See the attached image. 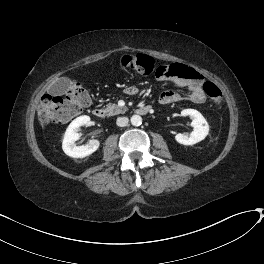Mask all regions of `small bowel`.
I'll use <instances>...</instances> for the list:
<instances>
[{
    "instance_id": "obj_1",
    "label": "small bowel",
    "mask_w": 264,
    "mask_h": 264,
    "mask_svg": "<svg viewBox=\"0 0 264 264\" xmlns=\"http://www.w3.org/2000/svg\"><path fill=\"white\" fill-rule=\"evenodd\" d=\"M170 69L172 71L171 80L174 87L186 89L187 94L182 95L174 89L166 90L160 95V104L166 105L182 100L202 103L206 100V95L203 89L204 78L200 73L190 67L180 64H172ZM135 92L136 87L134 86L128 87L125 90V93L128 95H133Z\"/></svg>"
}]
</instances>
